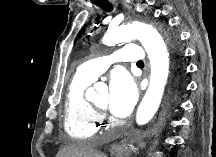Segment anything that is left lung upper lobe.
I'll use <instances>...</instances> for the list:
<instances>
[{
	"instance_id": "5c2ea615",
	"label": "left lung upper lobe",
	"mask_w": 216,
	"mask_h": 157,
	"mask_svg": "<svg viewBox=\"0 0 216 157\" xmlns=\"http://www.w3.org/2000/svg\"><path fill=\"white\" fill-rule=\"evenodd\" d=\"M165 31H166V35H167L168 46H169L170 51L172 53L173 60H174V56H175L177 59V63L179 64V66L182 69L183 68L182 67V50L178 45L177 36L175 34H173L172 32L167 31L166 29H165ZM174 63H175V60H174Z\"/></svg>"
}]
</instances>
